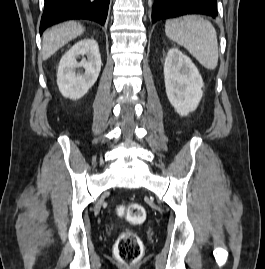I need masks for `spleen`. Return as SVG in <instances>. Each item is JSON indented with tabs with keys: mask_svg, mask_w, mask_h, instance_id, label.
Segmentation results:
<instances>
[{
	"mask_svg": "<svg viewBox=\"0 0 265 269\" xmlns=\"http://www.w3.org/2000/svg\"><path fill=\"white\" fill-rule=\"evenodd\" d=\"M165 33L169 39L183 46L208 70L218 65V43L214 26L199 15H186L168 20Z\"/></svg>",
	"mask_w": 265,
	"mask_h": 269,
	"instance_id": "3e777b00",
	"label": "spleen"
}]
</instances>
